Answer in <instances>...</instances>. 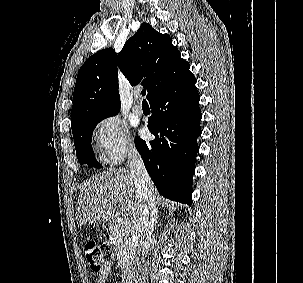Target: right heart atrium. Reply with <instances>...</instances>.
Masks as SVG:
<instances>
[{"instance_id": "right-heart-atrium-1", "label": "right heart atrium", "mask_w": 303, "mask_h": 283, "mask_svg": "<svg viewBox=\"0 0 303 283\" xmlns=\"http://www.w3.org/2000/svg\"><path fill=\"white\" fill-rule=\"evenodd\" d=\"M93 135L102 158L108 164H119L135 151L127 125L116 116L101 119L95 125Z\"/></svg>"}]
</instances>
